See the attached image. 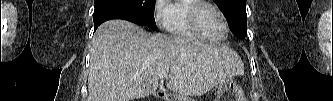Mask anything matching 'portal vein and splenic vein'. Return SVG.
Returning <instances> with one entry per match:
<instances>
[{"mask_svg": "<svg viewBox=\"0 0 333 101\" xmlns=\"http://www.w3.org/2000/svg\"><path fill=\"white\" fill-rule=\"evenodd\" d=\"M168 77H170V75H168L167 73L159 74L160 79H165V78H168Z\"/></svg>", "mask_w": 333, "mask_h": 101, "instance_id": "obj_1", "label": "portal vein and splenic vein"}]
</instances>
